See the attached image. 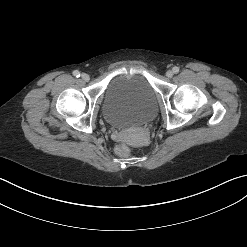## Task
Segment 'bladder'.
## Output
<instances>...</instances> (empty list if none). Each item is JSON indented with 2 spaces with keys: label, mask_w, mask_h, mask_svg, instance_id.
Returning <instances> with one entry per match:
<instances>
[{
  "label": "bladder",
  "mask_w": 247,
  "mask_h": 247,
  "mask_svg": "<svg viewBox=\"0 0 247 247\" xmlns=\"http://www.w3.org/2000/svg\"><path fill=\"white\" fill-rule=\"evenodd\" d=\"M157 110L156 91L144 74L117 75L105 89L102 114L113 127L129 128L148 124L156 117Z\"/></svg>",
  "instance_id": "31cf9c89"
}]
</instances>
